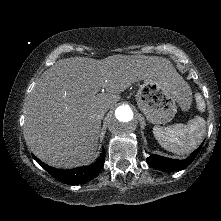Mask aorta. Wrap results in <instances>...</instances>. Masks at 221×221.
I'll use <instances>...</instances> for the list:
<instances>
[{
	"mask_svg": "<svg viewBox=\"0 0 221 221\" xmlns=\"http://www.w3.org/2000/svg\"><path fill=\"white\" fill-rule=\"evenodd\" d=\"M137 128L133 110L129 105H121L116 108L108 121L109 131L117 136H127Z\"/></svg>",
	"mask_w": 221,
	"mask_h": 221,
	"instance_id": "obj_1",
	"label": "aorta"
}]
</instances>
